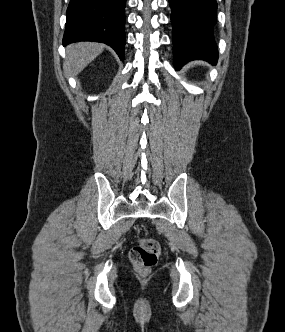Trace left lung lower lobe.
I'll return each instance as SVG.
<instances>
[{
	"label": "left lung lower lobe",
	"instance_id": "left-lung-lower-lobe-1",
	"mask_svg": "<svg viewBox=\"0 0 285 332\" xmlns=\"http://www.w3.org/2000/svg\"><path fill=\"white\" fill-rule=\"evenodd\" d=\"M169 4L176 69L194 59L216 64L218 50L212 33L216 0H169Z\"/></svg>",
	"mask_w": 285,
	"mask_h": 332
}]
</instances>
